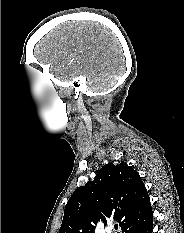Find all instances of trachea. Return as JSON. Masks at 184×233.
<instances>
[{"instance_id":"trachea-1","label":"trachea","mask_w":184,"mask_h":233,"mask_svg":"<svg viewBox=\"0 0 184 233\" xmlns=\"http://www.w3.org/2000/svg\"><path fill=\"white\" fill-rule=\"evenodd\" d=\"M114 228H115V230H117L118 229V224H115Z\"/></svg>"}]
</instances>
